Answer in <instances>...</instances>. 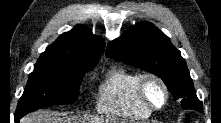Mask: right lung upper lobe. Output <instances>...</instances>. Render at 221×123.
<instances>
[{
    "instance_id": "cb5924a9",
    "label": "right lung upper lobe",
    "mask_w": 221,
    "mask_h": 123,
    "mask_svg": "<svg viewBox=\"0 0 221 123\" xmlns=\"http://www.w3.org/2000/svg\"><path fill=\"white\" fill-rule=\"evenodd\" d=\"M104 49L102 38L94 36L86 27L76 26L63 33L46 48L38 61H59L88 65L97 63Z\"/></svg>"
}]
</instances>
